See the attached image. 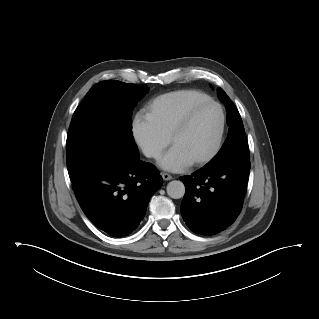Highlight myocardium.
Masks as SVG:
<instances>
[{
    "label": "myocardium",
    "instance_id": "1",
    "mask_svg": "<svg viewBox=\"0 0 319 319\" xmlns=\"http://www.w3.org/2000/svg\"><path fill=\"white\" fill-rule=\"evenodd\" d=\"M210 105L217 107L219 110V113H220V127H219V134H218L217 142H216L215 148L213 149V151L209 155H207L204 158H201L199 160L192 162V165H194V166H201V165H205V164L210 163L219 155V153L222 149L223 142H224L225 128H226V114H225L223 106L219 102H217L216 100H214L212 98L195 104L193 107H191L187 111V113L184 115V117L174 127V129L172 130V132L169 136V143H170V145H172L177 137H179L181 134H183L184 132L187 131V129L192 124L197 113L201 109H203L204 107L210 106Z\"/></svg>",
    "mask_w": 319,
    "mask_h": 319
}]
</instances>
